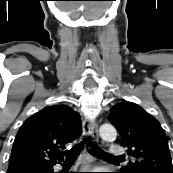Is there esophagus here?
<instances>
[{"label": "esophagus", "mask_w": 173, "mask_h": 173, "mask_svg": "<svg viewBox=\"0 0 173 173\" xmlns=\"http://www.w3.org/2000/svg\"><path fill=\"white\" fill-rule=\"evenodd\" d=\"M82 127H83V133L85 135L93 138V140L95 142L99 141L98 124L96 121H89V120L85 119L83 121ZM93 161H94V158L92 156L88 155V157L86 159V163L89 165Z\"/></svg>", "instance_id": "34e87169"}]
</instances>
